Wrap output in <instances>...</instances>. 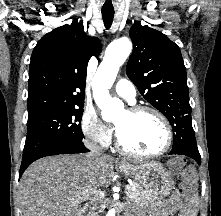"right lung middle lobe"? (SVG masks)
I'll return each mask as SVG.
<instances>
[{"label": "right lung middle lobe", "mask_w": 221, "mask_h": 216, "mask_svg": "<svg viewBox=\"0 0 221 216\" xmlns=\"http://www.w3.org/2000/svg\"><path fill=\"white\" fill-rule=\"evenodd\" d=\"M84 104L50 110L28 117L23 158L52 145L82 141L81 118Z\"/></svg>", "instance_id": "dd1d6c3e"}]
</instances>
